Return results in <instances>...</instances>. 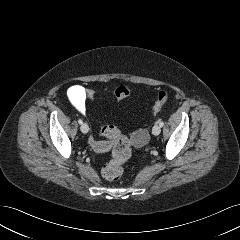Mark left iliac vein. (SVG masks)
<instances>
[{"mask_svg":"<svg viewBox=\"0 0 240 240\" xmlns=\"http://www.w3.org/2000/svg\"><path fill=\"white\" fill-rule=\"evenodd\" d=\"M161 132V127L158 124H155L152 129V133L157 136Z\"/></svg>","mask_w":240,"mask_h":240,"instance_id":"1","label":"left iliac vein"}]
</instances>
